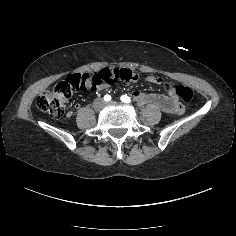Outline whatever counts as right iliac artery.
<instances>
[{
    "label": "right iliac artery",
    "mask_w": 236,
    "mask_h": 236,
    "mask_svg": "<svg viewBox=\"0 0 236 236\" xmlns=\"http://www.w3.org/2000/svg\"><path fill=\"white\" fill-rule=\"evenodd\" d=\"M104 100L106 101V102H108V101H110L111 100V96L110 95H105L104 96Z\"/></svg>",
    "instance_id": "82829eb1"
}]
</instances>
